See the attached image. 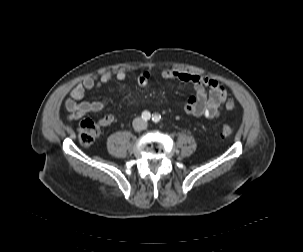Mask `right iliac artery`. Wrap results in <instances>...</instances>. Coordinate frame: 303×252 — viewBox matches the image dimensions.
<instances>
[{
	"label": "right iliac artery",
	"mask_w": 303,
	"mask_h": 252,
	"mask_svg": "<svg viewBox=\"0 0 303 252\" xmlns=\"http://www.w3.org/2000/svg\"><path fill=\"white\" fill-rule=\"evenodd\" d=\"M150 117H151L150 112L144 111V112L142 113V119H143V120L147 121V120L150 119Z\"/></svg>",
	"instance_id": "1"
}]
</instances>
